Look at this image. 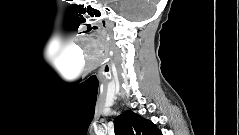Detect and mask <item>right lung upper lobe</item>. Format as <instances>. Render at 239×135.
<instances>
[{"instance_id": "obj_1", "label": "right lung upper lobe", "mask_w": 239, "mask_h": 135, "mask_svg": "<svg viewBox=\"0 0 239 135\" xmlns=\"http://www.w3.org/2000/svg\"><path fill=\"white\" fill-rule=\"evenodd\" d=\"M115 135H162L150 121L131 110L125 111L114 120Z\"/></svg>"}]
</instances>
